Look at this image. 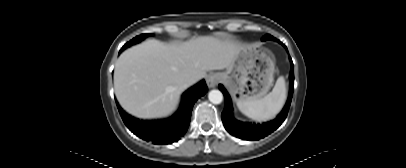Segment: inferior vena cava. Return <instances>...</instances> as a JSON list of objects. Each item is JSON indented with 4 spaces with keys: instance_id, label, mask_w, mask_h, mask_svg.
<instances>
[{
    "instance_id": "1",
    "label": "inferior vena cava",
    "mask_w": 406,
    "mask_h": 168,
    "mask_svg": "<svg viewBox=\"0 0 406 168\" xmlns=\"http://www.w3.org/2000/svg\"><path fill=\"white\" fill-rule=\"evenodd\" d=\"M197 80H198V77L190 76L185 79V83H186V85H191V84L195 83Z\"/></svg>"
}]
</instances>
